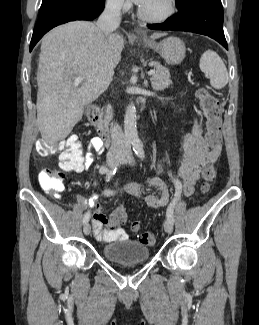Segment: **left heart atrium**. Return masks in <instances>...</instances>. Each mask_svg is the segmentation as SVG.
<instances>
[{
  "instance_id": "1",
  "label": "left heart atrium",
  "mask_w": 259,
  "mask_h": 325,
  "mask_svg": "<svg viewBox=\"0 0 259 325\" xmlns=\"http://www.w3.org/2000/svg\"><path fill=\"white\" fill-rule=\"evenodd\" d=\"M135 3L144 6L146 5L150 0H133Z\"/></svg>"
}]
</instances>
